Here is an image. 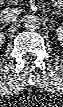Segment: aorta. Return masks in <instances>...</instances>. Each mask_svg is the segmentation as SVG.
Wrapping results in <instances>:
<instances>
[{"label":"aorta","mask_w":63,"mask_h":107,"mask_svg":"<svg viewBox=\"0 0 63 107\" xmlns=\"http://www.w3.org/2000/svg\"><path fill=\"white\" fill-rule=\"evenodd\" d=\"M40 19L36 15H27L24 19V27L27 30H37L40 27Z\"/></svg>","instance_id":"1"}]
</instances>
